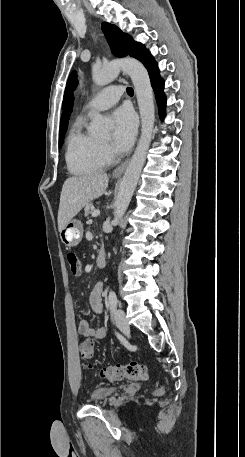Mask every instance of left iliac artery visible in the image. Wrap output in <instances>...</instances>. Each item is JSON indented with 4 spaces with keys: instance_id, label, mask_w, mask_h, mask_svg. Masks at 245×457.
Segmentation results:
<instances>
[{
    "instance_id": "44dca946",
    "label": "left iliac artery",
    "mask_w": 245,
    "mask_h": 457,
    "mask_svg": "<svg viewBox=\"0 0 245 457\" xmlns=\"http://www.w3.org/2000/svg\"><path fill=\"white\" fill-rule=\"evenodd\" d=\"M117 303H118L117 296H116L115 292L111 290L108 295V305H109L111 314L114 313V311L117 307Z\"/></svg>"
}]
</instances>
